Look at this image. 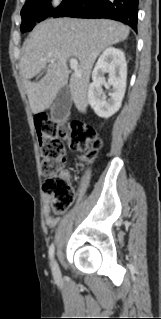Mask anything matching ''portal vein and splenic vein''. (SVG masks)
Listing matches in <instances>:
<instances>
[{"instance_id":"obj_1","label":"portal vein and splenic vein","mask_w":161,"mask_h":319,"mask_svg":"<svg viewBox=\"0 0 161 319\" xmlns=\"http://www.w3.org/2000/svg\"><path fill=\"white\" fill-rule=\"evenodd\" d=\"M51 63H53L54 62V59H50L49 60ZM70 67H71V69H77V67H78V60L77 59H71L70 60Z\"/></svg>"}]
</instances>
